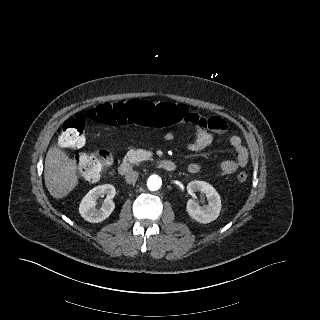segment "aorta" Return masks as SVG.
Segmentation results:
<instances>
[{
    "label": "aorta",
    "instance_id": "aorta-1",
    "mask_svg": "<svg viewBox=\"0 0 320 320\" xmlns=\"http://www.w3.org/2000/svg\"><path fill=\"white\" fill-rule=\"evenodd\" d=\"M162 179L158 175H151L147 180V187L150 191H157L161 188Z\"/></svg>",
    "mask_w": 320,
    "mask_h": 320
}]
</instances>
